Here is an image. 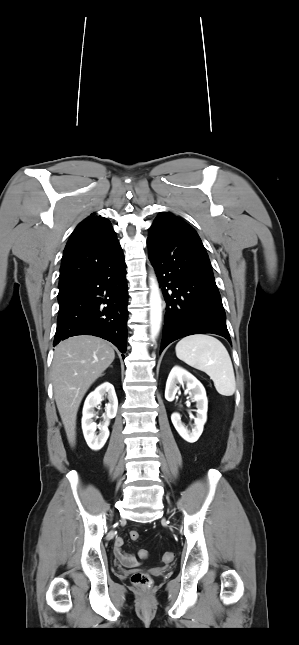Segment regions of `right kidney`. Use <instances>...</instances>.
I'll list each match as a JSON object with an SVG mask.
<instances>
[{
	"label": "right kidney",
	"instance_id": "ca27d5eb",
	"mask_svg": "<svg viewBox=\"0 0 299 645\" xmlns=\"http://www.w3.org/2000/svg\"><path fill=\"white\" fill-rule=\"evenodd\" d=\"M104 396H107L109 403L106 404V415L103 416L104 422L97 425L93 421L95 416L94 408L101 403ZM117 408L118 400L114 387L108 382L101 384L87 396L82 412V430L84 438L92 450H100L106 443L109 437V420L116 416ZM97 428L99 429V434L96 432Z\"/></svg>",
	"mask_w": 299,
	"mask_h": 645
}]
</instances>
